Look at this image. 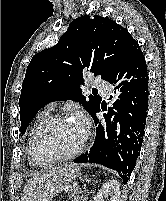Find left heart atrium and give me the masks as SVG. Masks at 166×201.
<instances>
[{
    "label": "left heart atrium",
    "instance_id": "obj_1",
    "mask_svg": "<svg viewBox=\"0 0 166 201\" xmlns=\"http://www.w3.org/2000/svg\"><path fill=\"white\" fill-rule=\"evenodd\" d=\"M74 123L80 130L82 137L85 138L89 129L88 119L83 114H77Z\"/></svg>",
    "mask_w": 166,
    "mask_h": 201
}]
</instances>
